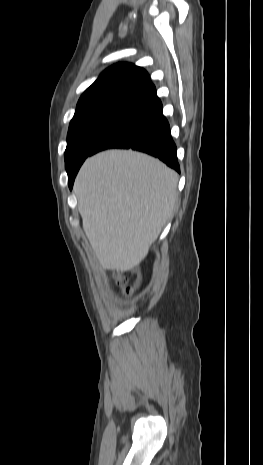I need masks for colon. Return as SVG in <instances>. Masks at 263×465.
Wrapping results in <instances>:
<instances>
[{
  "label": "colon",
  "instance_id": "5ec220e1",
  "mask_svg": "<svg viewBox=\"0 0 263 465\" xmlns=\"http://www.w3.org/2000/svg\"><path fill=\"white\" fill-rule=\"evenodd\" d=\"M115 279H116V282H118L120 285L125 286L126 280L123 276L116 275Z\"/></svg>",
  "mask_w": 263,
  "mask_h": 465
}]
</instances>
